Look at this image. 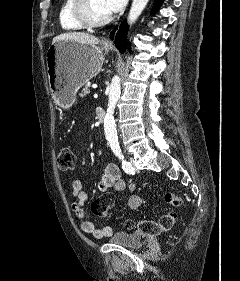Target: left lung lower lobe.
Returning <instances> with one entry per match:
<instances>
[{
	"mask_svg": "<svg viewBox=\"0 0 240 281\" xmlns=\"http://www.w3.org/2000/svg\"><path fill=\"white\" fill-rule=\"evenodd\" d=\"M164 0H155L154 2V6H153V10H156L157 8L160 7L161 3L163 2ZM118 29V27H116L114 29V31L111 33V37L114 38V32ZM127 29H128V26L126 24V21H124L121 25H120V28L119 30L117 31L116 33V36H115V45L116 47L121 51V52H124L125 49H126V43H127Z\"/></svg>",
	"mask_w": 240,
	"mask_h": 281,
	"instance_id": "left-lung-lower-lobe-1",
	"label": "left lung lower lobe"
}]
</instances>
